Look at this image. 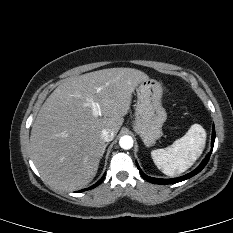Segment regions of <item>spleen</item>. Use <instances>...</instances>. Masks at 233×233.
Masks as SVG:
<instances>
[{
    "mask_svg": "<svg viewBox=\"0 0 233 233\" xmlns=\"http://www.w3.org/2000/svg\"><path fill=\"white\" fill-rule=\"evenodd\" d=\"M206 132L199 124H193L187 133L165 149L151 151L159 170L168 176L185 172L200 157L205 147Z\"/></svg>",
    "mask_w": 233,
    "mask_h": 233,
    "instance_id": "3e777b00",
    "label": "spleen"
}]
</instances>
